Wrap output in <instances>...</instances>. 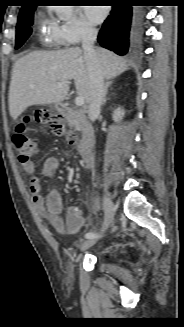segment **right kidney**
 Instances as JSON below:
<instances>
[{
	"mask_svg": "<svg viewBox=\"0 0 184 327\" xmlns=\"http://www.w3.org/2000/svg\"><path fill=\"white\" fill-rule=\"evenodd\" d=\"M124 114H125L124 109H122L121 107H118V108L115 109L114 112H113V115H112L113 120H114V121H119V120H121V119L123 118Z\"/></svg>",
	"mask_w": 184,
	"mask_h": 327,
	"instance_id": "obj_1",
	"label": "right kidney"
}]
</instances>
